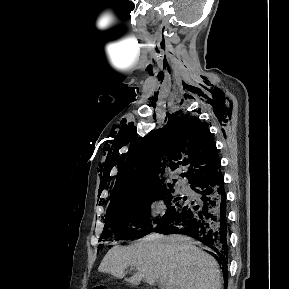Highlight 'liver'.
Returning <instances> with one entry per match:
<instances>
[{
  "mask_svg": "<svg viewBox=\"0 0 289 289\" xmlns=\"http://www.w3.org/2000/svg\"><path fill=\"white\" fill-rule=\"evenodd\" d=\"M128 266L137 269L127 279L133 285L142 280L154 285L160 280L165 289L222 287L216 260L186 236L150 234L131 246H115L105 255L98 270L121 279Z\"/></svg>",
  "mask_w": 289,
  "mask_h": 289,
  "instance_id": "obj_1",
  "label": "liver"
}]
</instances>
